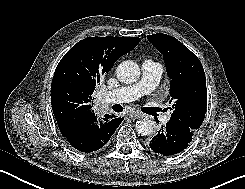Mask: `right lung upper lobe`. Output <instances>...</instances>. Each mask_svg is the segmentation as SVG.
Wrapping results in <instances>:
<instances>
[{
  "instance_id": "obj_1",
  "label": "right lung upper lobe",
  "mask_w": 245,
  "mask_h": 189,
  "mask_svg": "<svg viewBox=\"0 0 245 189\" xmlns=\"http://www.w3.org/2000/svg\"><path fill=\"white\" fill-rule=\"evenodd\" d=\"M139 42L137 37H89L64 55L51 85L52 109L63 136L92 122L95 116L92 94L100 76Z\"/></svg>"
}]
</instances>
